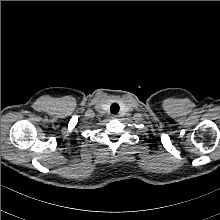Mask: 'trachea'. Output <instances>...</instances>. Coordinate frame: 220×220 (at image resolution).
<instances>
[{
  "mask_svg": "<svg viewBox=\"0 0 220 220\" xmlns=\"http://www.w3.org/2000/svg\"><path fill=\"white\" fill-rule=\"evenodd\" d=\"M110 111L112 114H117L119 112V105L117 103H113L110 107Z\"/></svg>",
  "mask_w": 220,
  "mask_h": 220,
  "instance_id": "obj_1",
  "label": "trachea"
}]
</instances>
